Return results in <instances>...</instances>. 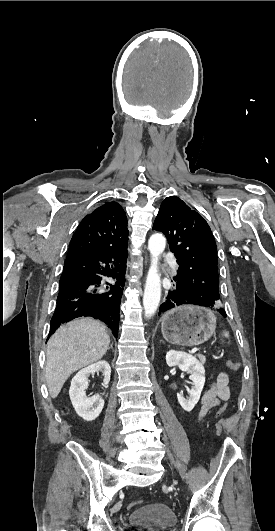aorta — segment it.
Returning a JSON list of instances; mask_svg holds the SVG:
<instances>
[{"instance_id":"obj_1","label":"aorta","mask_w":275,"mask_h":531,"mask_svg":"<svg viewBox=\"0 0 275 531\" xmlns=\"http://www.w3.org/2000/svg\"><path fill=\"white\" fill-rule=\"evenodd\" d=\"M166 247V241L162 235H152L149 239L148 249L151 255L146 285L144 289L143 307L145 317H153L156 313L161 297V281L158 273V261Z\"/></svg>"}]
</instances>
